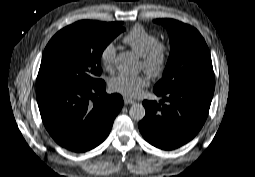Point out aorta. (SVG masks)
<instances>
[{"label": "aorta", "instance_id": "762f6f07", "mask_svg": "<svg viewBox=\"0 0 255 177\" xmlns=\"http://www.w3.org/2000/svg\"><path fill=\"white\" fill-rule=\"evenodd\" d=\"M116 68L119 72L127 74L138 73V64L130 52H121L117 55L115 60ZM146 111L142 104L134 103L129 109L130 117L135 121H140L145 117Z\"/></svg>", "mask_w": 255, "mask_h": 177}]
</instances>
